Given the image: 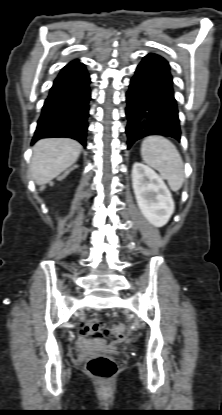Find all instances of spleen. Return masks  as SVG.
I'll use <instances>...</instances> for the list:
<instances>
[{
	"label": "spleen",
	"mask_w": 222,
	"mask_h": 415,
	"mask_svg": "<svg viewBox=\"0 0 222 415\" xmlns=\"http://www.w3.org/2000/svg\"><path fill=\"white\" fill-rule=\"evenodd\" d=\"M143 161L166 179L170 189L177 192L184 182V165L175 145L162 136H148L141 145Z\"/></svg>",
	"instance_id": "obj_1"
}]
</instances>
